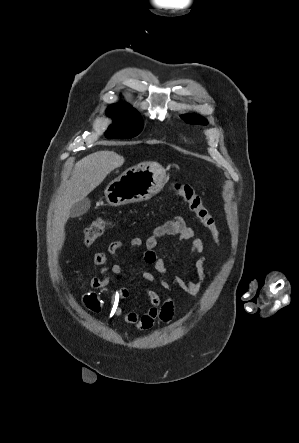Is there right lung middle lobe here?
Masks as SVG:
<instances>
[{"instance_id":"dd1d6c3e","label":"right lung middle lobe","mask_w":299,"mask_h":443,"mask_svg":"<svg viewBox=\"0 0 299 443\" xmlns=\"http://www.w3.org/2000/svg\"><path fill=\"white\" fill-rule=\"evenodd\" d=\"M107 115L115 119L105 132L107 138H132L142 131V119L133 108L112 105L107 109Z\"/></svg>"}]
</instances>
